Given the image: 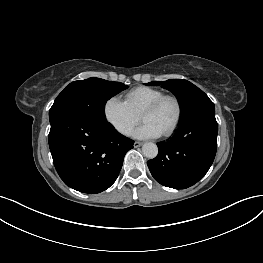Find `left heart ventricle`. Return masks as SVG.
<instances>
[{"mask_svg": "<svg viewBox=\"0 0 263 263\" xmlns=\"http://www.w3.org/2000/svg\"><path fill=\"white\" fill-rule=\"evenodd\" d=\"M175 115V104L171 100H167L159 108L143 113L141 118L143 121H149L155 124L163 133L170 127Z\"/></svg>", "mask_w": 263, "mask_h": 263, "instance_id": "left-heart-ventricle-1", "label": "left heart ventricle"}]
</instances>
